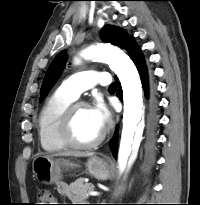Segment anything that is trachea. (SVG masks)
I'll use <instances>...</instances> for the list:
<instances>
[{
    "instance_id": "obj_1",
    "label": "trachea",
    "mask_w": 200,
    "mask_h": 205,
    "mask_svg": "<svg viewBox=\"0 0 200 205\" xmlns=\"http://www.w3.org/2000/svg\"><path fill=\"white\" fill-rule=\"evenodd\" d=\"M109 89H116V84H115V83H112V84L109 86Z\"/></svg>"
}]
</instances>
